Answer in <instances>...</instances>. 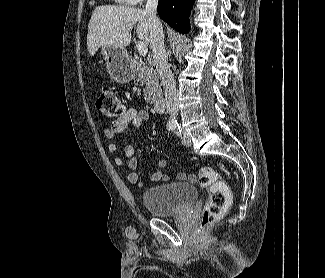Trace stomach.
Here are the masks:
<instances>
[{
    "mask_svg": "<svg viewBox=\"0 0 325 278\" xmlns=\"http://www.w3.org/2000/svg\"><path fill=\"white\" fill-rule=\"evenodd\" d=\"M101 54L111 77L118 83H128L135 75L132 63L127 57L125 48L115 46H103Z\"/></svg>",
    "mask_w": 325,
    "mask_h": 278,
    "instance_id": "stomach-1",
    "label": "stomach"
}]
</instances>
